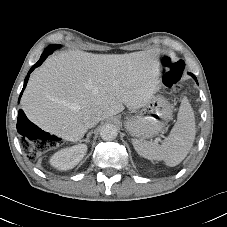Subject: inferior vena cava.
Wrapping results in <instances>:
<instances>
[{
  "label": "inferior vena cava",
  "mask_w": 227,
  "mask_h": 227,
  "mask_svg": "<svg viewBox=\"0 0 227 227\" xmlns=\"http://www.w3.org/2000/svg\"><path fill=\"white\" fill-rule=\"evenodd\" d=\"M101 120L100 115L98 113H89L86 116V125L88 128H92L95 125H97V123Z\"/></svg>",
  "instance_id": "1"
}]
</instances>
